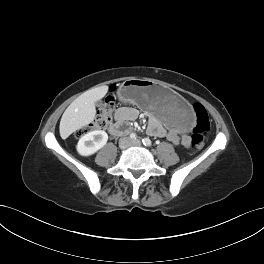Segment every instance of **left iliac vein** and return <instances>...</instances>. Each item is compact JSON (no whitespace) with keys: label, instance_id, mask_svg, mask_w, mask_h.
<instances>
[{"label":"left iliac vein","instance_id":"left-iliac-vein-1","mask_svg":"<svg viewBox=\"0 0 264 264\" xmlns=\"http://www.w3.org/2000/svg\"><path fill=\"white\" fill-rule=\"evenodd\" d=\"M131 145L132 146H141L142 145V142L140 140L132 141L131 142Z\"/></svg>","mask_w":264,"mask_h":264}]
</instances>
